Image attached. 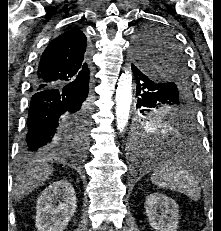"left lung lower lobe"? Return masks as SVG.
Masks as SVG:
<instances>
[{"instance_id": "obj_1", "label": "left lung lower lobe", "mask_w": 221, "mask_h": 231, "mask_svg": "<svg viewBox=\"0 0 221 231\" xmlns=\"http://www.w3.org/2000/svg\"><path fill=\"white\" fill-rule=\"evenodd\" d=\"M132 71L136 80V107L139 108L144 101L155 97L167 87L164 83L151 80L137 66L132 64ZM175 130L170 129L164 134H156L151 137L141 138L136 132L132 138V154L145 161L158 160V153L162 150L169 151L165 157L167 161L180 166L192 164V157L199 151L198 136L196 134L195 120L192 116L180 119L174 125Z\"/></svg>"}]
</instances>
